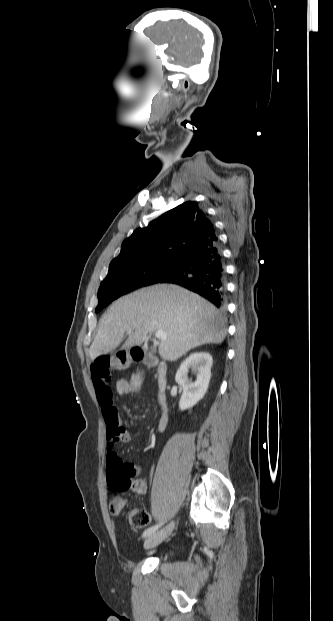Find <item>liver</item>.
<instances>
[{"instance_id": "1", "label": "liver", "mask_w": 333, "mask_h": 621, "mask_svg": "<svg viewBox=\"0 0 333 621\" xmlns=\"http://www.w3.org/2000/svg\"><path fill=\"white\" fill-rule=\"evenodd\" d=\"M132 330L129 334L128 331ZM163 330L158 352L175 361L190 349L220 344L226 337L223 315L209 302L179 286L159 284L140 289L115 301L101 317L89 349L92 361L116 349L141 345L148 333Z\"/></svg>"}]
</instances>
